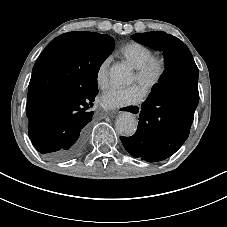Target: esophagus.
<instances>
[{"instance_id":"obj_1","label":"esophagus","mask_w":227,"mask_h":227,"mask_svg":"<svg viewBox=\"0 0 227 227\" xmlns=\"http://www.w3.org/2000/svg\"><path fill=\"white\" fill-rule=\"evenodd\" d=\"M141 111V107L139 105H121L118 108V113L121 114H132L137 116Z\"/></svg>"}]
</instances>
